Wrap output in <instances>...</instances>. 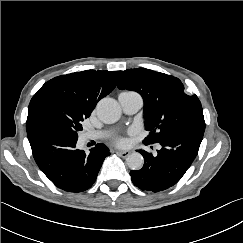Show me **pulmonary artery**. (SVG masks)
Wrapping results in <instances>:
<instances>
[{
	"instance_id": "pulmonary-artery-1",
	"label": "pulmonary artery",
	"mask_w": 243,
	"mask_h": 243,
	"mask_svg": "<svg viewBox=\"0 0 243 243\" xmlns=\"http://www.w3.org/2000/svg\"><path fill=\"white\" fill-rule=\"evenodd\" d=\"M119 102L122 106L124 113H126L127 115L135 114L143 105L142 97L139 94L121 93L119 95ZM103 134L104 133L102 132L84 133L82 135V139L83 141H89L92 139L100 138L101 136H103Z\"/></svg>"
}]
</instances>
